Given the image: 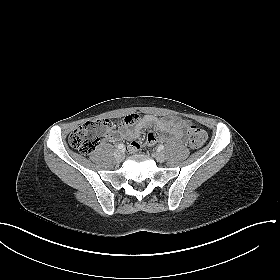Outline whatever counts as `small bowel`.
<instances>
[{
  "instance_id": "1",
  "label": "small bowel",
  "mask_w": 280,
  "mask_h": 280,
  "mask_svg": "<svg viewBox=\"0 0 280 280\" xmlns=\"http://www.w3.org/2000/svg\"><path fill=\"white\" fill-rule=\"evenodd\" d=\"M131 125L132 128H130V125L124 124L117 135L113 137V140L126 139L130 141L128 148L131 153H134L141 148V145L134 140L139 137L144 128L150 127L162 134H170L174 139L180 140L183 138L189 122L177 117L159 118L153 115H144ZM157 142L158 137L155 132L150 131L146 134V146H154Z\"/></svg>"
}]
</instances>
